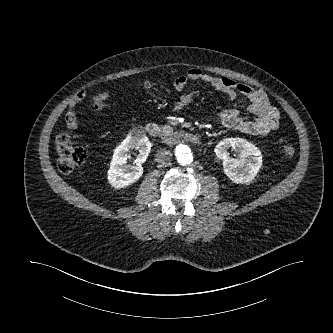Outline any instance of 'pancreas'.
I'll use <instances>...</instances> for the list:
<instances>
[{"label":"pancreas","instance_id":"1","mask_svg":"<svg viewBox=\"0 0 333 333\" xmlns=\"http://www.w3.org/2000/svg\"><path fill=\"white\" fill-rule=\"evenodd\" d=\"M162 128L166 132H171L172 131V128L170 126H168V125H164Z\"/></svg>","mask_w":333,"mask_h":333}]
</instances>
